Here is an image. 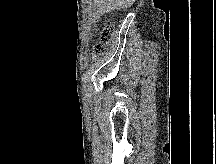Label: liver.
<instances>
[{
	"mask_svg": "<svg viewBox=\"0 0 216 164\" xmlns=\"http://www.w3.org/2000/svg\"><path fill=\"white\" fill-rule=\"evenodd\" d=\"M136 0H94L97 6V14L103 15L114 10L127 9L131 7Z\"/></svg>",
	"mask_w": 216,
	"mask_h": 164,
	"instance_id": "1",
	"label": "liver"
}]
</instances>
